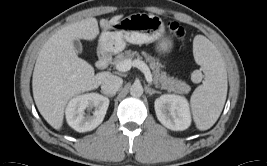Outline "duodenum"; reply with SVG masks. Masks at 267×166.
<instances>
[{
	"label": "duodenum",
	"instance_id": "obj_1",
	"mask_svg": "<svg viewBox=\"0 0 267 166\" xmlns=\"http://www.w3.org/2000/svg\"><path fill=\"white\" fill-rule=\"evenodd\" d=\"M112 57L107 52H101L97 61V67L99 70H105L111 63Z\"/></svg>",
	"mask_w": 267,
	"mask_h": 166
}]
</instances>
